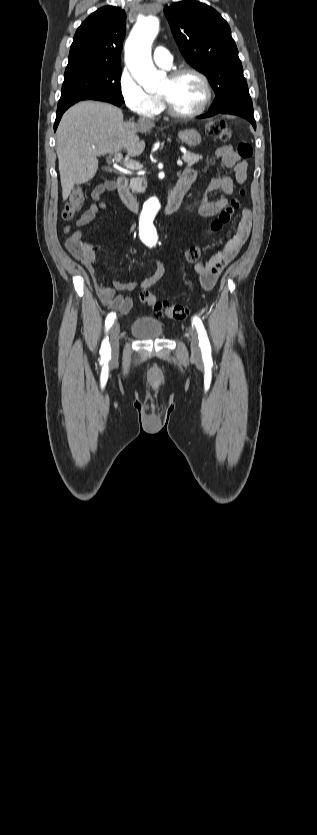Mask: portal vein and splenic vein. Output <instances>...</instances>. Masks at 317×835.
I'll return each instance as SVG.
<instances>
[{
  "mask_svg": "<svg viewBox=\"0 0 317 835\" xmlns=\"http://www.w3.org/2000/svg\"><path fill=\"white\" fill-rule=\"evenodd\" d=\"M122 158H123V156H122L121 153L118 152V153L115 154L116 162H118V163L121 162ZM123 165L125 167L131 168V169H136V170L142 169V165L139 162H137L136 160H127L123 163ZM177 165L181 167L183 165V162L181 160H178ZM178 174H181V171H178Z\"/></svg>",
  "mask_w": 317,
  "mask_h": 835,
  "instance_id": "1",
  "label": "portal vein and splenic vein"
}]
</instances>
